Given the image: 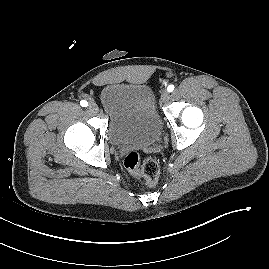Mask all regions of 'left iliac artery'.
Returning a JSON list of instances; mask_svg holds the SVG:
<instances>
[{
  "instance_id": "left-iliac-artery-1",
  "label": "left iliac artery",
  "mask_w": 269,
  "mask_h": 269,
  "mask_svg": "<svg viewBox=\"0 0 269 269\" xmlns=\"http://www.w3.org/2000/svg\"><path fill=\"white\" fill-rule=\"evenodd\" d=\"M174 90V85L170 84L168 87H167V91L168 92H172Z\"/></svg>"
}]
</instances>
